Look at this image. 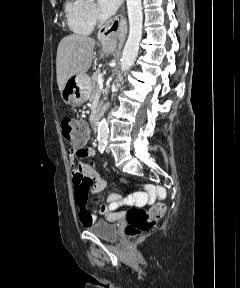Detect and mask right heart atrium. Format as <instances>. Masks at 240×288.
Segmentation results:
<instances>
[{
  "instance_id": "right-heart-atrium-1",
  "label": "right heart atrium",
  "mask_w": 240,
  "mask_h": 288,
  "mask_svg": "<svg viewBox=\"0 0 240 288\" xmlns=\"http://www.w3.org/2000/svg\"><path fill=\"white\" fill-rule=\"evenodd\" d=\"M87 12L94 22L100 18L99 11L93 2H87Z\"/></svg>"
}]
</instances>
